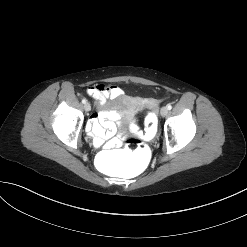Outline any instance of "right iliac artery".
Returning <instances> with one entry per match:
<instances>
[{"label": "right iliac artery", "instance_id": "obj_1", "mask_svg": "<svg viewBox=\"0 0 247 247\" xmlns=\"http://www.w3.org/2000/svg\"><path fill=\"white\" fill-rule=\"evenodd\" d=\"M86 102H87V100L84 98V99H82V103L83 104H86Z\"/></svg>", "mask_w": 247, "mask_h": 247}]
</instances>
